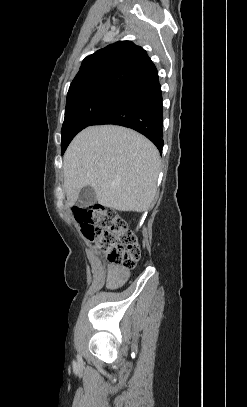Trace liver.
Instances as JSON below:
<instances>
[{
	"label": "liver",
	"instance_id": "obj_1",
	"mask_svg": "<svg viewBox=\"0 0 247 407\" xmlns=\"http://www.w3.org/2000/svg\"><path fill=\"white\" fill-rule=\"evenodd\" d=\"M159 169V152L143 135L121 126H90L64 155L68 205L76 203L82 188L91 186L99 204L143 212L155 197Z\"/></svg>",
	"mask_w": 247,
	"mask_h": 407
}]
</instances>
